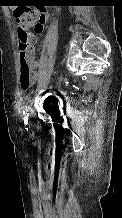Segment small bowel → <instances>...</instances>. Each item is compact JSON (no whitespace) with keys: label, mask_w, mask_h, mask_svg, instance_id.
Masks as SVG:
<instances>
[{"label":"small bowel","mask_w":122,"mask_h":218,"mask_svg":"<svg viewBox=\"0 0 122 218\" xmlns=\"http://www.w3.org/2000/svg\"><path fill=\"white\" fill-rule=\"evenodd\" d=\"M32 55V54H31ZM31 65H32V69H33V72H34V81H37L38 80V70H39V66H38V61H35L32 59L31 61Z\"/></svg>","instance_id":"small-bowel-1"}]
</instances>
